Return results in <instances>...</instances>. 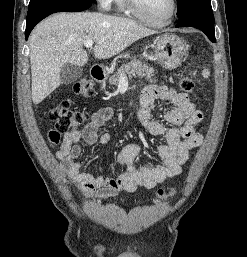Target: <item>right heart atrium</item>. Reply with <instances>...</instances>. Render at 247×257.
Here are the masks:
<instances>
[{"mask_svg": "<svg viewBox=\"0 0 247 257\" xmlns=\"http://www.w3.org/2000/svg\"><path fill=\"white\" fill-rule=\"evenodd\" d=\"M97 2L102 10L108 11L112 8L114 0H97Z\"/></svg>", "mask_w": 247, "mask_h": 257, "instance_id": "obj_1", "label": "right heart atrium"}]
</instances>
